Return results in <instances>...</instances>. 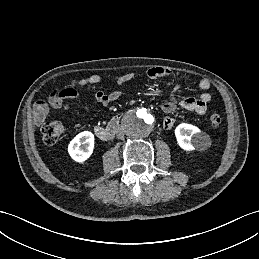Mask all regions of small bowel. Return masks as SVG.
<instances>
[{
	"instance_id": "c3829d8e",
	"label": "small bowel",
	"mask_w": 259,
	"mask_h": 259,
	"mask_svg": "<svg viewBox=\"0 0 259 259\" xmlns=\"http://www.w3.org/2000/svg\"><path fill=\"white\" fill-rule=\"evenodd\" d=\"M146 74L151 79L169 77L174 75L172 70L162 67L150 68L147 70ZM136 76L137 75L135 73H125L122 75L112 76L109 78V81L116 85H122L132 81L136 78ZM102 81L103 77L101 75L94 74L79 80L78 86H94ZM197 85L202 91L199 97H184L180 99L177 95L180 85L178 82L175 83L174 89L170 95V99L163 103L161 106L162 111L168 115L164 118L162 123L164 129L168 130L174 126L175 119L170 115L175 112L177 107H181L198 115H203L206 113L207 104L211 100V95L208 92L211 84L208 79L202 78L198 81ZM78 95V92L73 89L69 91H67V89H56L49 95L47 101H37L33 107V117L35 123L37 125H41L50 116L51 108L67 110L69 108V100L77 98ZM119 96V91L106 93L103 90H95L94 92L95 99L102 105H108L109 103L117 100Z\"/></svg>"
}]
</instances>
